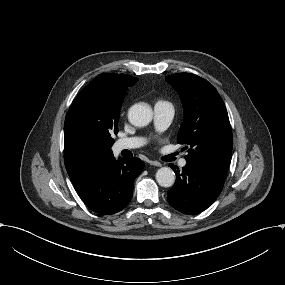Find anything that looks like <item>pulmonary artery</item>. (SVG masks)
I'll list each match as a JSON object with an SVG mask.
<instances>
[{
  "instance_id": "obj_1",
  "label": "pulmonary artery",
  "mask_w": 285,
  "mask_h": 285,
  "mask_svg": "<svg viewBox=\"0 0 285 285\" xmlns=\"http://www.w3.org/2000/svg\"><path fill=\"white\" fill-rule=\"evenodd\" d=\"M155 117L158 121V125L155 128L157 134L162 135L165 131L168 130L169 126L172 123V120L175 117L173 112V106L169 102H160L157 103L154 107ZM143 144V141L140 138H126L119 139L115 142L113 146V152L119 154L125 149H133L139 147ZM180 167L184 168L187 165L185 158H182L179 161Z\"/></svg>"
}]
</instances>
